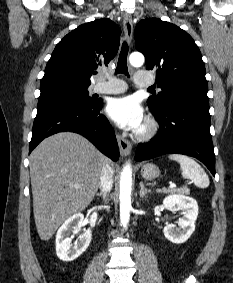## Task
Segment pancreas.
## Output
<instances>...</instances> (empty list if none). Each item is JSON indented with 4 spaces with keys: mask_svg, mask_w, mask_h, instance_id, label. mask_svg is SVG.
I'll return each instance as SVG.
<instances>
[{
    "mask_svg": "<svg viewBox=\"0 0 233 283\" xmlns=\"http://www.w3.org/2000/svg\"><path fill=\"white\" fill-rule=\"evenodd\" d=\"M167 193H171V194H189V190L187 188H182V189H172L169 191H166Z\"/></svg>",
    "mask_w": 233,
    "mask_h": 283,
    "instance_id": "cf45deb5",
    "label": "pancreas"
}]
</instances>
